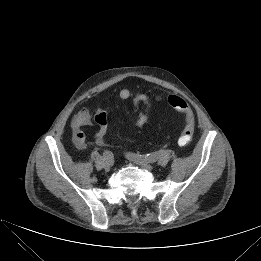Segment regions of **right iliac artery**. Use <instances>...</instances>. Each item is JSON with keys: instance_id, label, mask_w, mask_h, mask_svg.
Returning a JSON list of instances; mask_svg holds the SVG:
<instances>
[{"instance_id": "82829eb1", "label": "right iliac artery", "mask_w": 261, "mask_h": 261, "mask_svg": "<svg viewBox=\"0 0 261 261\" xmlns=\"http://www.w3.org/2000/svg\"><path fill=\"white\" fill-rule=\"evenodd\" d=\"M102 156H103V159H105L106 161H109V162L113 161V159H114L113 153L108 150L104 151Z\"/></svg>"}]
</instances>
